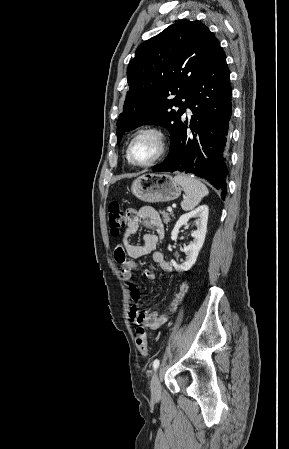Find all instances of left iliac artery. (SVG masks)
I'll use <instances>...</instances> for the list:
<instances>
[{"mask_svg": "<svg viewBox=\"0 0 289 449\" xmlns=\"http://www.w3.org/2000/svg\"><path fill=\"white\" fill-rule=\"evenodd\" d=\"M159 364H160L159 360L155 359L153 362V369L156 370L159 367Z\"/></svg>", "mask_w": 289, "mask_h": 449, "instance_id": "left-iliac-artery-1", "label": "left iliac artery"}]
</instances>
